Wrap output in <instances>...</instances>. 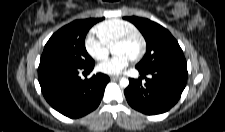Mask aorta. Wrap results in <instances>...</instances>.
Returning a JSON list of instances; mask_svg holds the SVG:
<instances>
[{
	"mask_svg": "<svg viewBox=\"0 0 225 132\" xmlns=\"http://www.w3.org/2000/svg\"><path fill=\"white\" fill-rule=\"evenodd\" d=\"M119 85L122 87V88H126L128 87L129 85V80L125 77H122L120 80H119Z\"/></svg>",
	"mask_w": 225,
	"mask_h": 132,
	"instance_id": "aorta-1",
	"label": "aorta"
}]
</instances>
